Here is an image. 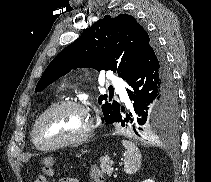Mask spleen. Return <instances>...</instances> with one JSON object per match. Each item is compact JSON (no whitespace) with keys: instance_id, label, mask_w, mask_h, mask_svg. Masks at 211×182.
I'll return each mask as SVG.
<instances>
[{"instance_id":"spleen-1","label":"spleen","mask_w":211,"mask_h":182,"mask_svg":"<svg viewBox=\"0 0 211 182\" xmlns=\"http://www.w3.org/2000/svg\"><path fill=\"white\" fill-rule=\"evenodd\" d=\"M123 147L125 148L124 153V171L127 174L136 173L141 167L142 156L138 147L127 140L121 141Z\"/></svg>"}]
</instances>
